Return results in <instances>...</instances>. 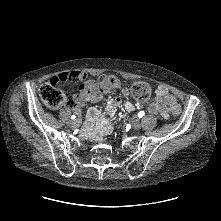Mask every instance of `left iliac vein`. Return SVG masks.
Instances as JSON below:
<instances>
[{
    "label": "left iliac vein",
    "instance_id": "1",
    "mask_svg": "<svg viewBox=\"0 0 221 221\" xmlns=\"http://www.w3.org/2000/svg\"><path fill=\"white\" fill-rule=\"evenodd\" d=\"M140 128H141V124H140L139 121H135V122L132 124V129H133L134 131H137V130H139Z\"/></svg>",
    "mask_w": 221,
    "mask_h": 221
}]
</instances>
